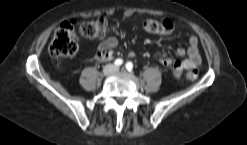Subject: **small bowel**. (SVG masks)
<instances>
[{
	"label": "small bowel",
	"mask_w": 247,
	"mask_h": 145,
	"mask_svg": "<svg viewBox=\"0 0 247 145\" xmlns=\"http://www.w3.org/2000/svg\"><path fill=\"white\" fill-rule=\"evenodd\" d=\"M118 45V39L114 36H110L98 45L99 54L108 53L111 49L115 48ZM178 56L183 57L187 55V58L183 61V66L188 71L196 69L201 63V56L198 49V38L195 35L190 36L189 44L187 48L179 47L176 50ZM134 53L131 52L130 56H133ZM166 62H171L166 56H162V64L164 66H169Z\"/></svg>",
	"instance_id": "1"
}]
</instances>
